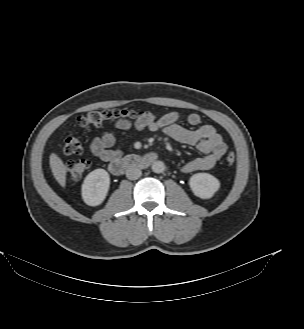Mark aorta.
<instances>
[{"mask_svg":"<svg viewBox=\"0 0 304 329\" xmlns=\"http://www.w3.org/2000/svg\"><path fill=\"white\" fill-rule=\"evenodd\" d=\"M151 168L154 173H162L165 170V164L162 161H155Z\"/></svg>","mask_w":304,"mask_h":329,"instance_id":"762f6f07","label":"aorta"}]
</instances>
